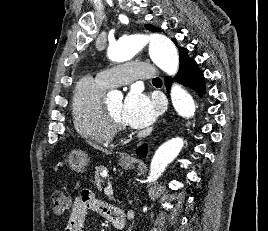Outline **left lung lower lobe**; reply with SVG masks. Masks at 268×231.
I'll return each mask as SVG.
<instances>
[{
  "mask_svg": "<svg viewBox=\"0 0 268 231\" xmlns=\"http://www.w3.org/2000/svg\"><path fill=\"white\" fill-rule=\"evenodd\" d=\"M165 80L169 91L172 80L170 77H166ZM176 80L179 83L194 89L199 96H201L205 90L203 73L199 70L196 61L190 57L187 58L182 65H180ZM146 153V146H142L138 149L139 156L145 157Z\"/></svg>",
  "mask_w": 268,
  "mask_h": 231,
  "instance_id": "obj_1",
  "label": "left lung lower lobe"
}]
</instances>
